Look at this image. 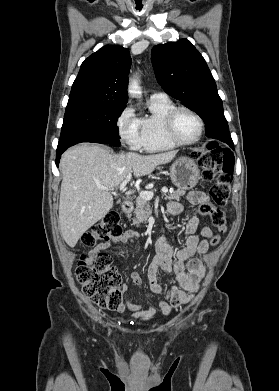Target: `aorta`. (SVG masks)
<instances>
[{
  "label": "aorta",
  "instance_id": "1",
  "mask_svg": "<svg viewBox=\"0 0 279 391\" xmlns=\"http://www.w3.org/2000/svg\"><path fill=\"white\" fill-rule=\"evenodd\" d=\"M129 93L133 96L140 95V87L138 86V83L136 80H133L130 87H129Z\"/></svg>",
  "mask_w": 279,
  "mask_h": 391
}]
</instances>
